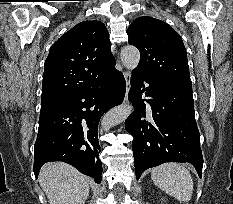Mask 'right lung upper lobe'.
Returning a JSON list of instances; mask_svg holds the SVG:
<instances>
[{
	"mask_svg": "<svg viewBox=\"0 0 233 204\" xmlns=\"http://www.w3.org/2000/svg\"><path fill=\"white\" fill-rule=\"evenodd\" d=\"M109 33L100 21H84L50 48L45 61L41 104L62 102L90 88L115 67Z\"/></svg>",
	"mask_w": 233,
	"mask_h": 204,
	"instance_id": "right-lung-upper-lobe-1",
	"label": "right lung upper lobe"
}]
</instances>
